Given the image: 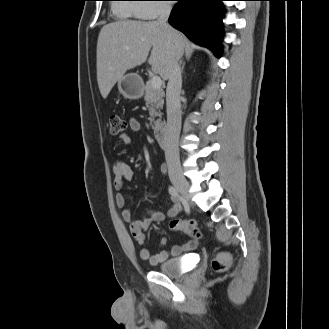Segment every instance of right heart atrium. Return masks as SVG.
I'll return each mask as SVG.
<instances>
[{
  "label": "right heart atrium",
  "mask_w": 329,
  "mask_h": 329,
  "mask_svg": "<svg viewBox=\"0 0 329 329\" xmlns=\"http://www.w3.org/2000/svg\"><path fill=\"white\" fill-rule=\"evenodd\" d=\"M139 6L138 16L141 19H154L158 17L161 13L169 10L166 0H143Z\"/></svg>",
  "instance_id": "1"
}]
</instances>
